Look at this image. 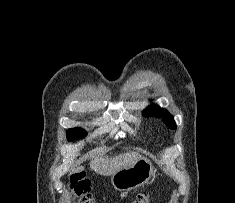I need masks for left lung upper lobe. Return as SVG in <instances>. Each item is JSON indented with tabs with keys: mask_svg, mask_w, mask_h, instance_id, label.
Masks as SVG:
<instances>
[{
	"mask_svg": "<svg viewBox=\"0 0 235 203\" xmlns=\"http://www.w3.org/2000/svg\"><path fill=\"white\" fill-rule=\"evenodd\" d=\"M143 114L145 116H156V117H160L163 118V121L165 122V124L171 128V129H175L176 128V124L175 121L173 119V116L171 114L168 113L167 110L160 108L157 105H150L148 106L144 111Z\"/></svg>",
	"mask_w": 235,
	"mask_h": 203,
	"instance_id": "obj_1",
	"label": "left lung upper lobe"
}]
</instances>
